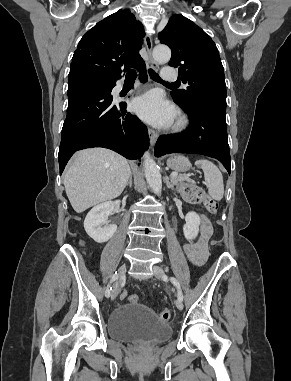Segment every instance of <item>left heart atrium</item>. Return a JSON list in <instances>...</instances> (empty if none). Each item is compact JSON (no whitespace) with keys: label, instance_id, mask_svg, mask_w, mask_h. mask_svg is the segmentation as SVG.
Wrapping results in <instances>:
<instances>
[{"label":"left heart atrium","instance_id":"left-heart-atrium-1","mask_svg":"<svg viewBox=\"0 0 291 381\" xmlns=\"http://www.w3.org/2000/svg\"><path fill=\"white\" fill-rule=\"evenodd\" d=\"M132 107L141 119L155 126L170 125L176 115L173 106L158 91H150L135 98Z\"/></svg>","mask_w":291,"mask_h":381}]
</instances>
